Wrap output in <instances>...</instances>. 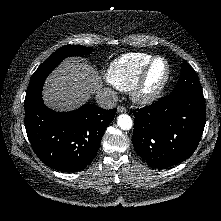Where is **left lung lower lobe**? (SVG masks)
I'll return each instance as SVG.
<instances>
[{
	"label": "left lung lower lobe",
	"instance_id": "0a47b994",
	"mask_svg": "<svg viewBox=\"0 0 221 221\" xmlns=\"http://www.w3.org/2000/svg\"><path fill=\"white\" fill-rule=\"evenodd\" d=\"M133 113V146L152 168H167L189 158L206 121L204 96L188 93H170Z\"/></svg>",
	"mask_w": 221,
	"mask_h": 221
}]
</instances>
